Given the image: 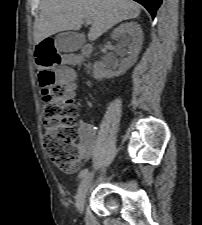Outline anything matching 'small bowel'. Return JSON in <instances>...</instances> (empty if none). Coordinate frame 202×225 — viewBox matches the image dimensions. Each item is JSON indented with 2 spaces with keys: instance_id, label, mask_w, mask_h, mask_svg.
I'll use <instances>...</instances> for the list:
<instances>
[{
  "instance_id": "obj_1",
  "label": "small bowel",
  "mask_w": 202,
  "mask_h": 225,
  "mask_svg": "<svg viewBox=\"0 0 202 225\" xmlns=\"http://www.w3.org/2000/svg\"><path fill=\"white\" fill-rule=\"evenodd\" d=\"M69 72L68 70L61 69L60 73ZM72 89L76 88L73 81H69ZM80 140H79V155L82 160H87L91 157L93 151L96 149L99 139L95 133V127L88 121L82 120L79 122Z\"/></svg>"
}]
</instances>
